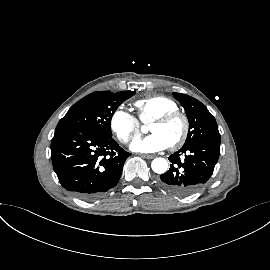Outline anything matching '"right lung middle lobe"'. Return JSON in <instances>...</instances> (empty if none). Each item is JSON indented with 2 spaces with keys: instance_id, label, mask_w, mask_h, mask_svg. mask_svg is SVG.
I'll return each instance as SVG.
<instances>
[{
  "instance_id": "right-lung-middle-lobe-1",
  "label": "right lung middle lobe",
  "mask_w": 270,
  "mask_h": 270,
  "mask_svg": "<svg viewBox=\"0 0 270 270\" xmlns=\"http://www.w3.org/2000/svg\"><path fill=\"white\" fill-rule=\"evenodd\" d=\"M135 91L93 92L75 103L59 121L56 129H85L102 137L111 138V118L118 106Z\"/></svg>"
}]
</instances>
